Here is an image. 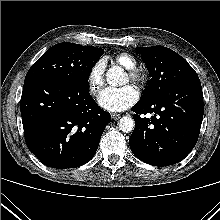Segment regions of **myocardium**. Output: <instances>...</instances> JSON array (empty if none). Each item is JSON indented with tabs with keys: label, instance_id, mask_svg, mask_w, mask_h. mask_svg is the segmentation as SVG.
<instances>
[{
	"label": "myocardium",
	"instance_id": "obj_1",
	"mask_svg": "<svg viewBox=\"0 0 220 220\" xmlns=\"http://www.w3.org/2000/svg\"><path fill=\"white\" fill-rule=\"evenodd\" d=\"M128 77L132 82L138 85H142L146 81L145 73L137 67L128 70Z\"/></svg>",
	"mask_w": 220,
	"mask_h": 220
}]
</instances>
